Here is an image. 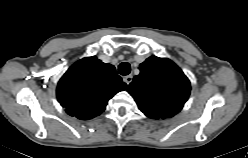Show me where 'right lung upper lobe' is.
I'll use <instances>...</instances> for the list:
<instances>
[{
	"label": "right lung upper lobe",
	"mask_w": 248,
	"mask_h": 158,
	"mask_svg": "<svg viewBox=\"0 0 248 158\" xmlns=\"http://www.w3.org/2000/svg\"><path fill=\"white\" fill-rule=\"evenodd\" d=\"M126 84L115 67L95 56L73 64L60 79L57 99L66 112L81 120L92 119L105 110L107 102Z\"/></svg>",
	"instance_id": "cb5924a9"
}]
</instances>
